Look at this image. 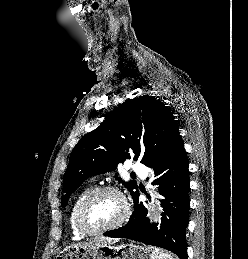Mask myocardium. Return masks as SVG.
Wrapping results in <instances>:
<instances>
[{
  "label": "myocardium",
  "instance_id": "myocardium-1",
  "mask_svg": "<svg viewBox=\"0 0 248 259\" xmlns=\"http://www.w3.org/2000/svg\"><path fill=\"white\" fill-rule=\"evenodd\" d=\"M104 193H113L117 195L120 200L122 201L123 204V213L120 216L118 220L115 222L100 227V228H92L90 227L86 220H85V211L90 202L96 198L97 196L104 194ZM130 216V206L129 203L125 197V195L116 187L113 186H101L97 187L95 189L90 190L80 201L78 204V207L76 209V214H75V221L77 224L78 229L85 235L88 236H94V235H99L114 229H117L121 227L123 224L126 223Z\"/></svg>",
  "mask_w": 248,
  "mask_h": 259
}]
</instances>
